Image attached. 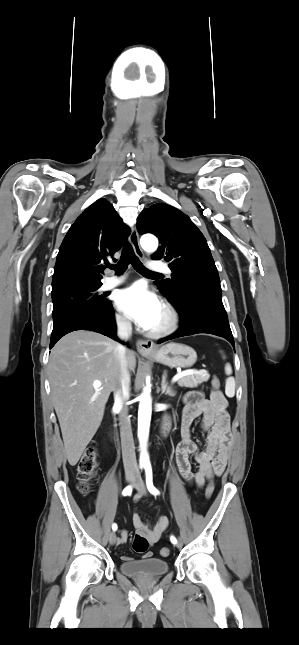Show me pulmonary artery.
Here are the masks:
<instances>
[{"label": "pulmonary artery", "instance_id": "e3ab8cb5", "mask_svg": "<svg viewBox=\"0 0 299 645\" xmlns=\"http://www.w3.org/2000/svg\"><path fill=\"white\" fill-rule=\"evenodd\" d=\"M148 268L150 271L154 272H165L168 274L171 273V269L168 267V265L160 261H151L148 265ZM124 279L125 278L123 276H109L104 280L102 289L109 290L117 287L121 283H123Z\"/></svg>", "mask_w": 299, "mask_h": 645}]
</instances>
